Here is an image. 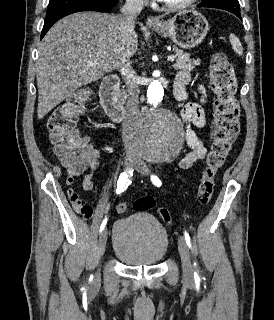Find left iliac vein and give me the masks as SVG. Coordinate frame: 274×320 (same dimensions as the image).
<instances>
[{
  "mask_svg": "<svg viewBox=\"0 0 274 320\" xmlns=\"http://www.w3.org/2000/svg\"><path fill=\"white\" fill-rule=\"evenodd\" d=\"M135 169L142 175L149 174V168L143 161H137ZM178 250L182 261L183 277L189 282L193 279V266L191 263L190 251L182 236L178 239Z\"/></svg>",
  "mask_w": 274,
  "mask_h": 320,
  "instance_id": "obj_1",
  "label": "left iliac vein"
}]
</instances>
